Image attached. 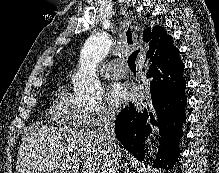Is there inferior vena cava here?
I'll use <instances>...</instances> for the list:
<instances>
[{"mask_svg": "<svg viewBox=\"0 0 219 173\" xmlns=\"http://www.w3.org/2000/svg\"><path fill=\"white\" fill-rule=\"evenodd\" d=\"M99 136L107 146L109 157L107 159V173H119V145L115 137V111L105 107L102 111L101 121L98 128Z\"/></svg>", "mask_w": 219, "mask_h": 173, "instance_id": "inferior-vena-cava-1", "label": "inferior vena cava"}]
</instances>
